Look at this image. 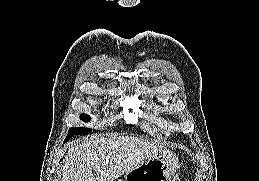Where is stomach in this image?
Returning a JSON list of instances; mask_svg holds the SVG:
<instances>
[{
    "mask_svg": "<svg viewBox=\"0 0 259 181\" xmlns=\"http://www.w3.org/2000/svg\"><path fill=\"white\" fill-rule=\"evenodd\" d=\"M178 166L176 154L162 151L125 173L124 181H170Z\"/></svg>",
    "mask_w": 259,
    "mask_h": 181,
    "instance_id": "0dacf381",
    "label": "stomach"
}]
</instances>
